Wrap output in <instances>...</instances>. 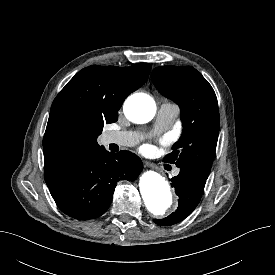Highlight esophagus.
<instances>
[{"mask_svg":"<svg viewBox=\"0 0 275 275\" xmlns=\"http://www.w3.org/2000/svg\"><path fill=\"white\" fill-rule=\"evenodd\" d=\"M146 165H147L148 167H154L153 164L146 163Z\"/></svg>","mask_w":275,"mask_h":275,"instance_id":"34e87169","label":"esophagus"}]
</instances>
